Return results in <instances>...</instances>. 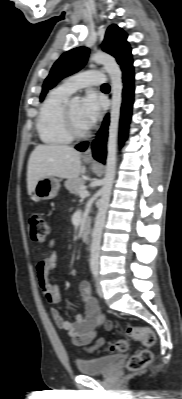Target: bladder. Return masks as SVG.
I'll use <instances>...</instances> for the list:
<instances>
[{"label": "bladder", "instance_id": "bladder-1", "mask_svg": "<svg viewBox=\"0 0 182 399\" xmlns=\"http://www.w3.org/2000/svg\"><path fill=\"white\" fill-rule=\"evenodd\" d=\"M121 355L102 356L76 361L78 371L83 375H103L109 372L112 366L121 359Z\"/></svg>", "mask_w": 182, "mask_h": 399}]
</instances>
